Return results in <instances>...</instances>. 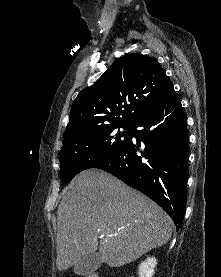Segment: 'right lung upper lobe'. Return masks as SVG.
I'll return each mask as SVG.
<instances>
[{
    "label": "right lung upper lobe",
    "instance_id": "1",
    "mask_svg": "<svg viewBox=\"0 0 221 277\" xmlns=\"http://www.w3.org/2000/svg\"><path fill=\"white\" fill-rule=\"evenodd\" d=\"M173 90L158 61L141 54L117 60L75 99L64 141L90 128L133 122Z\"/></svg>",
    "mask_w": 221,
    "mask_h": 277
}]
</instances>
